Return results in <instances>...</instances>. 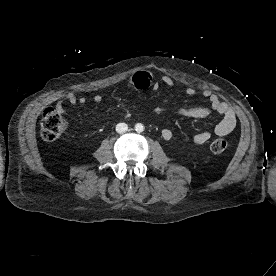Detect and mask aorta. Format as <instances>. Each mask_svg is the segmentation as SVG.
I'll return each mask as SVG.
<instances>
[{
	"instance_id": "762f6f07",
	"label": "aorta",
	"mask_w": 276,
	"mask_h": 276,
	"mask_svg": "<svg viewBox=\"0 0 276 276\" xmlns=\"http://www.w3.org/2000/svg\"><path fill=\"white\" fill-rule=\"evenodd\" d=\"M135 130H136L137 132H143V131H144V126H143V124L137 123V124L135 125Z\"/></svg>"
}]
</instances>
